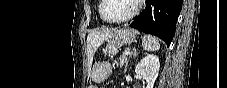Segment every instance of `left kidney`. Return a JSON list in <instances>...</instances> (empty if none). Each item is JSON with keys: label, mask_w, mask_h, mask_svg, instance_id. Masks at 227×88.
<instances>
[{"label": "left kidney", "mask_w": 227, "mask_h": 88, "mask_svg": "<svg viewBox=\"0 0 227 88\" xmlns=\"http://www.w3.org/2000/svg\"><path fill=\"white\" fill-rule=\"evenodd\" d=\"M160 68L159 58L156 55H146L135 67V72L147 82V88H153Z\"/></svg>", "instance_id": "obj_1"}]
</instances>
